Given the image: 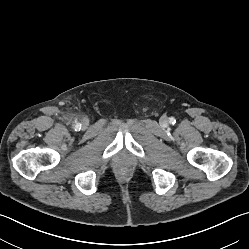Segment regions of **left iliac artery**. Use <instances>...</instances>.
Here are the masks:
<instances>
[{
    "mask_svg": "<svg viewBox=\"0 0 249 249\" xmlns=\"http://www.w3.org/2000/svg\"><path fill=\"white\" fill-rule=\"evenodd\" d=\"M169 122H170L171 124H174V123L176 122V120H175L173 117H171V118H169Z\"/></svg>",
    "mask_w": 249,
    "mask_h": 249,
    "instance_id": "44dca946",
    "label": "left iliac artery"
}]
</instances>
